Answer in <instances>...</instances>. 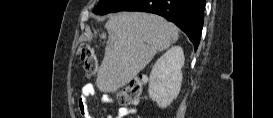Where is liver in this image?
<instances>
[{
    "label": "liver",
    "mask_w": 273,
    "mask_h": 118,
    "mask_svg": "<svg viewBox=\"0 0 273 118\" xmlns=\"http://www.w3.org/2000/svg\"><path fill=\"white\" fill-rule=\"evenodd\" d=\"M108 40L96 86L114 93L126 86L153 59L178 40V28L164 18L144 12H120L105 25Z\"/></svg>",
    "instance_id": "1"
}]
</instances>
